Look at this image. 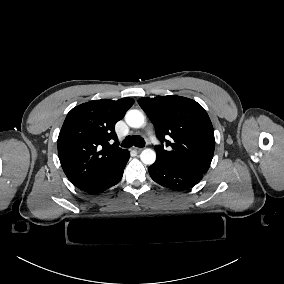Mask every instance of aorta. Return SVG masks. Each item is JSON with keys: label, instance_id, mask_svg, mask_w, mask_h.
Listing matches in <instances>:
<instances>
[{"label": "aorta", "instance_id": "762f6f07", "mask_svg": "<svg viewBox=\"0 0 284 284\" xmlns=\"http://www.w3.org/2000/svg\"><path fill=\"white\" fill-rule=\"evenodd\" d=\"M126 123L132 128H140L145 122L143 113L139 110H129L125 115ZM141 161L146 165H151L156 160V153L150 148L144 149L140 154Z\"/></svg>", "mask_w": 284, "mask_h": 284}]
</instances>
